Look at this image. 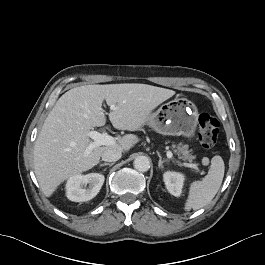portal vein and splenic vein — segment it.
<instances>
[{"label":"portal vein and splenic vein","mask_w":265,"mask_h":265,"mask_svg":"<svg viewBox=\"0 0 265 265\" xmlns=\"http://www.w3.org/2000/svg\"><path fill=\"white\" fill-rule=\"evenodd\" d=\"M110 109H115V106L114 105H111L110 106ZM86 135L88 137H90L93 142L89 144V146L87 147L86 151H85V156H87L94 148L96 147H99V146H102V145H114L116 142H115V139L110 136L107 132H103V133H99L97 131H88L86 133ZM167 157L169 159H173V153L171 151H167ZM178 163V165H181L182 166V163L179 162V161H176ZM185 166L187 167H193V168H197L196 165L194 164H185ZM201 174H204V172H201Z\"/></svg>","instance_id":"1"}]
</instances>
